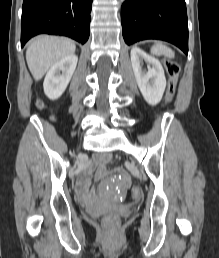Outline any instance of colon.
Listing matches in <instances>:
<instances>
[{
  "mask_svg": "<svg viewBox=\"0 0 219 258\" xmlns=\"http://www.w3.org/2000/svg\"><path fill=\"white\" fill-rule=\"evenodd\" d=\"M164 68L168 76L165 99L166 103H170L175 96L180 66L174 60L166 59L164 61ZM37 105L38 107H42L41 102H38ZM131 195L134 199L139 198L141 195V189L138 186H133L131 189ZM102 225L105 236H113L119 230L120 218L116 213H108L103 218Z\"/></svg>",
  "mask_w": 219,
  "mask_h": 258,
  "instance_id": "1",
  "label": "colon"
}]
</instances>
